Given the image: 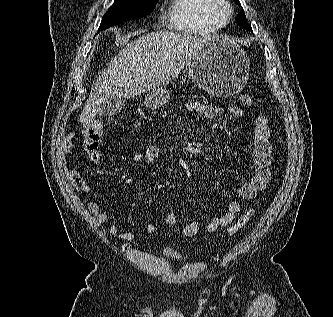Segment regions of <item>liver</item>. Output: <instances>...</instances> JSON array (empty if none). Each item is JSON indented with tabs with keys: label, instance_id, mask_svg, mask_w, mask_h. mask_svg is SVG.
I'll use <instances>...</instances> for the list:
<instances>
[{
	"label": "liver",
	"instance_id": "liver-1",
	"mask_svg": "<svg viewBox=\"0 0 333 317\" xmlns=\"http://www.w3.org/2000/svg\"><path fill=\"white\" fill-rule=\"evenodd\" d=\"M214 38L157 31L127 44L98 76L79 122L89 125L101 104L113 96L132 98L176 79L203 44Z\"/></svg>",
	"mask_w": 333,
	"mask_h": 317
}]
</instances>
